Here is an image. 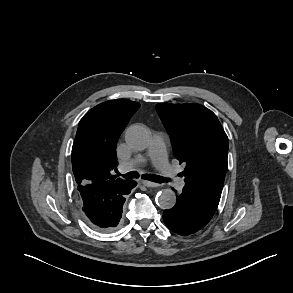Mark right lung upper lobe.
Instances as JSON below:
<instances>
[{"label": "right lung upper lobe", "mask_w": 293, "mask_h": 293, "mask_svg": "<svg viewBox=\"0 0 293 293\" xmlns=\"http://www.w3.org/2000/svg\"><path fill=\"white\" fill-rule=\"evenodd\" d=\"M140 104L127 99L101 103L80 120L72 147V167L77 185L121 183L117 178L116 144L129 118Z\"/></svg>", "instance_id": "right-lung-upper-lobe-1"}]
</instances>
